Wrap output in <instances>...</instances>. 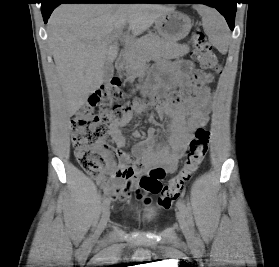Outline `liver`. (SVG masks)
Here are the masks:
<instances>
[{"instance_id": "obj_1", "label": "liver", "mask_w": 279, "mask_h": 267, "mask_svg": "<svg viewBox=\"0 0 279 267\" xmlns=\"http://www.w3.org/2000/svg\"><path fill=\"white\" fill-rule=\"evenodd\" d=\"M174 7L152 4H63L48 22V42L66 99L75 114L103 83V67L118 55L113 32L128 25L133 35L149 29Z\"/></svg>"}]
</instances>
